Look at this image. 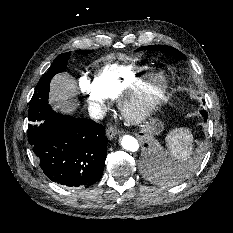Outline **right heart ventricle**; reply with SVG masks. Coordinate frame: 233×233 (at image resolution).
Returning <instances> with one entry per match:
<instances>
[{"instance_id": "1", "label": "right heart ventricle", "mask_w": 233, "mask_h": 233, "mask_svg": "<svg viewBox=\"0 0 233 233\" xmlns=\"http://www.w3.org/2000/svg\"><path fill=\"white\" fill-rule=\"evenodd\" d=\"M149 71L145 65H108L97 72L95 82L105 98L117 99L127 87L145 80Z\"/></svg>"}]
</instances>
